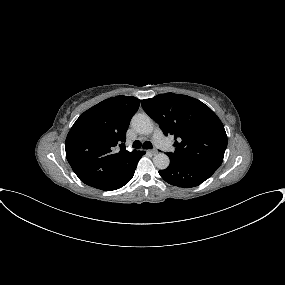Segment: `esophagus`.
I'll return each instance as SVG.
<instances>
[{
    "instance_id": "obj_1",
    "label": "esophagus",
    "mask_w": 285,
    "mask_h": 285,
    "mask_svg": "<svg viewBox=\"0 0 285 285\" xmlns=\"http://www.w3.org/2000/svg\"><path fill=\"white\" fill-rule=\"evenodd\" d=\"M148 153H150L151 155H155V154H157V151L156 150H149Z\"/></svg>"
}]
</instances>
